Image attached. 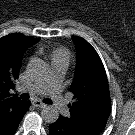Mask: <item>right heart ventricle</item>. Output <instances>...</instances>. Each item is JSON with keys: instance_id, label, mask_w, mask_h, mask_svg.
<instances>
[{"instance_id": "obj_1", "label": "right heart ventricle", "mask_w": 135, "mask_h": 135, "mask_svg": "<svg viewBox=\"0 0 135 135\" xmlns=\"http://www.w3.org/2000/svg\"><path fill=\"white\" fill-rule=\"evenodd\" d=\"M51 63H64L68 64L70 60V52L65 47H56L50 54Z\"/></svg>"}]
</instances>
